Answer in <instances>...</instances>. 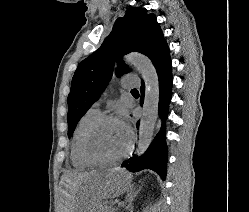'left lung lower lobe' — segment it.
Here are the masks:
<instances>
[{
	"label": "left lung lower lobe",
	"instance_id": "left-lung-lower-lobe-1",
	"mask_svg": "<svg viewBox=\"0 0 249 212\" xmlns=\"http://www.w3.org/2000/svg\"><path fill=\"white\" fill-rule=\"evenodd\" d=\"M159 78V117L162 120V126L152 144L141 157H132L122 164L131 172H138L143 169H151L165 180L167 165V146L165 141V122L168 114V107L172 94V63L168 45L165 46L157 57L153 60ZM140 104H143L145 85L142 82ZM139 121L137 122V128Z\"/></svg>",
	"mask_w": 249,
	"mask_h": 212
}]
</instances>
